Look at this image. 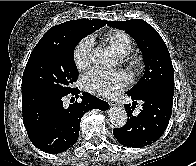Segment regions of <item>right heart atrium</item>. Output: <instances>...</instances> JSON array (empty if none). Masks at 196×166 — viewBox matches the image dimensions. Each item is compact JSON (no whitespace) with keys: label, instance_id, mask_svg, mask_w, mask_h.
I'll return each mask as SVG.
<instances>
[{"label":"right heart atrium","instance_id":"1","mask_svg":"<svg viewBox=\"0 0 196 166\" xmlns=\"http://www.w3.org/2000/svg\"><path fill=\"white\" fill-rule=\"evenodd\" d=\"M93 37L87 36L81 39L73 50L74 63L79 69L90 66L92 60Z\"/></svg>","mask_w":196,"mask_h":166}]
</instances>
